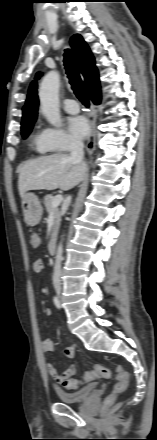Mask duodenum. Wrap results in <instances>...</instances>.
Here are the masks:
<instances>
[{"mask_svg": "<svg viewBox=\"0 0 157 440\" xmlns=\"http://www.w3.org/2000/svg\"><path fill=\"white\" fill-rule=\"evenodd\" d=\"M56 243L57 239L56 237L50 238L49 244H48V252L50 255H54L56 251Z\"/></svg>", "mask_w": 157, "mask_h": 440, "instance_id": "410a0bca", "label": "duodenum"}]
</instances>
